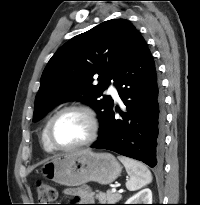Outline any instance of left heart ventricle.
<instances>
[{
	"label": "left heart ventricle",
	"instance_id": "b2bd125f",
	"mask_svg": "<svg viewBox=\"0 0 200 205\" xmlns=\"http://www.w3.org/2000/svg\"><path fill=\"white\" fill-rule=\"evenodd\" d=\"M89 133V123L85 115L77 111L62 114L54 123L52 136L61 146L74 145L84 140Z\"/></svg>",
	"mask_w": 200,
	"mask_h": 205
}]
</instances>
